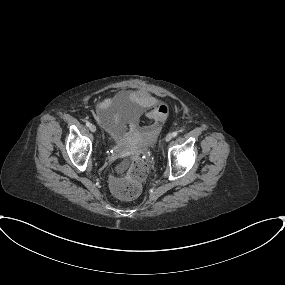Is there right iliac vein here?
<instances>
[{"label": "right iliac vein", "instance_id": "1", "mask_svg": "<svg viewBox=\"0 0 285 285\" xmlns=\"http://www.w3.org/2000/svg\"><path fill=\"white\" fill-rule=\"evenodd\" d=\"M89 128H90L91 132H95L96 131V126L94 124H91Z\"/></svg>", "mask_w": 285, "mask_h": 285}]
</instances>
